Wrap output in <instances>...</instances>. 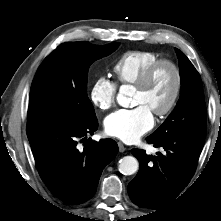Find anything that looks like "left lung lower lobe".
I'll return each instance as SVG.
<instances>
[{"label": "left lung lower lobe", "mask_w": 221, "mask_h": 221, "mask_svg": "<svg viewBox=\"0 0 221 221\" xmlns=\"http://www.w3.org/2000/svg\"><path fill=\"white\" fill-rule=\"evenodd\" d=\"M154 147H163L157 157L144 150L133 149L140 169L128 185L130 199L142 208L159 209L173 201L190 182L204 145V139L191 135L163 138L148 136Z\"/></svg>", "instance_id": "left-lung-lower-lobe-1"}]
</instances>
